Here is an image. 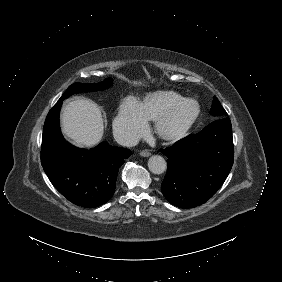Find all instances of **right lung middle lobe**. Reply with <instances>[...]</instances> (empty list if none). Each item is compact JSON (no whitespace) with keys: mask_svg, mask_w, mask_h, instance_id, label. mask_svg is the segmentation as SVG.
Instances as JSON below:
<instances>
[{"mask_svg":"<svg viewBox=\"0 0 282 282\" xmlns=\"http://www.w3.org/2000/svg\"><path fill=\"white\" fill-rule=\"evenodd\" d=\"M112 79L108 78L105 81L96 84H82V83H74L68 87L66 92L62 95L60 100H64L71 96L74 93L79 92H94L99 90H104L112 85Z\"/></svg>","mask_w":282,"mask_h":282,"instance_id":"obj_1","label":"right lung middle lobe"}]
</instances>
